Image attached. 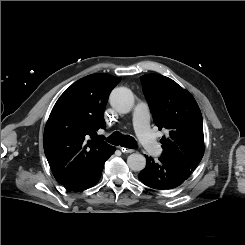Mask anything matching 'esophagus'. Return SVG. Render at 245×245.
<instances>
[{"label": "esophagus", "mask_w": 245, "mask_h": 245, "mask_svg": "<svg viewBox=\"0 0 245 245\" xmlns=\"http://www.w3.org/2000/svg\"><path fill=\"white\" fill-rule=\"evenodd\" d=\"M119 149H120L123 153H132V152H134L133 149H129V148L122 147V146H119Z\"/></svg>", "instance_id": "obj_1"}]
</instances>
